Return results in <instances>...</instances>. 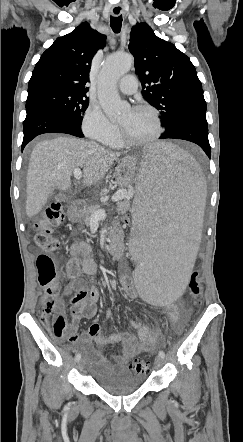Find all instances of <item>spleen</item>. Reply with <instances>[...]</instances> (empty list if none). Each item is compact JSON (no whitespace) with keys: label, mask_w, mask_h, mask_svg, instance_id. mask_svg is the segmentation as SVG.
I'll use <instances>...</instances> for the list:
<instances>
[{"label":"spleen","mask_w":243,"mask_h":442,"mask_svg":"<svg viewBox=\"0 0 243 442\" xmlns=\"http://www.w3.org/2000/svg\"><path fill=\"white\" fill-rule=\"evenodd\" d=\"M136 171L133 286L150 307H170L184 295L193 268L206 180L188 152L164 142L141 148Z\"/></svg>","instance_id":"spleen-1"}]
</instances>
